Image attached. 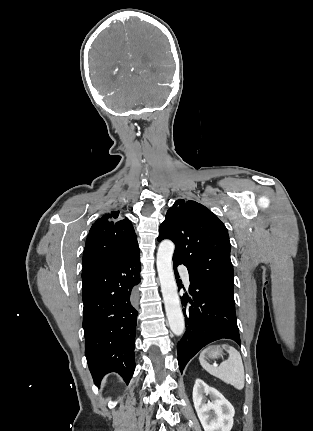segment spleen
Returning a JSON list of instances; mask_svg holds the SVG:
<instances>
[{
	"label": "spleen",
	"mask_w": 313,
	"mask_h": 431,
	"mask_svg": "<svg viewBox=\"0 0 313 431\" xmlns=\"http://www.w3.org/2000/svg\"><path fill=\"white\" fill-rule=\"evenodd\" d=\"M223 348L227 350L229 358L223 361L219 367L210 365L205 360V355L213 349ZM199 361L201 366L211 375L219 378L227 384H231L236 389L241 390L244 388L245 376L244 366L240 353L232 346L227 344L209 346L204 349L200 356Z\"/></svg>",
	"instance_id": "spleen-1"
}]
</instances>
